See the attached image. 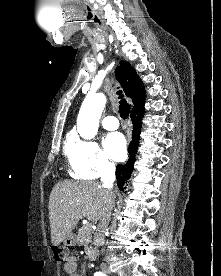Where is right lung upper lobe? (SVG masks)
I'll return each instance as SVG.
<instances>
[{"instance_id":"1","label":"right lung upper lobe","mask_w":221,"mask_h":276,"mask_svg":"<svg viewBox=\"0 0 221 276\" xmlns=\"http://www.w3.org/2000/svg\"><path fill=\"white\" fill-rule=\"evenodd\" d=\"M115 74L122 84L125 94L133 101L134 107L132 111L144 107V85L133 67L129 63L121 61L120 66L116 68Z\"/></svg>"}]
</instances>
